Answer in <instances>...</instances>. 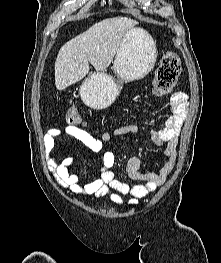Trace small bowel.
I'll return each instance as SVG.
<instances>
[{
  "mask_svg": "<svg viewBox=\"0 0 221 263\" xmlns=\"http://www.w3.org/2000/svg\"><path fill=\"white\" fill-rule=\"evenodd\" d=\"M169 106L170 115L163 127L158 130H148L151 142L155 146L166 145L164 153L168 161L158 172L141 169L139 158L130 157L127 161L126 174L136 183L127 184L119 180L111 171L115 164V157L113 153L106 152L102 156L99 176L87 183H81V175L72 171L76 168L75 157L73 155L60 159L57 157L59 153L57 143L64 134L80 141L90 150L98 152L103 148L104 143L109 142L113 137L137 133L140 127L135 124L121 125L111 131L103 132L101 137L97 138L82 128L69 126L65 129L53 128L44 138L46 152L54 151L55 153V157L49 162L54 180L74 195H93L95 197L109 195L111 201L116 205H122L125 202L124 197H128L127 204L131 207L137 206L140 199L145 198L166 181L176 164L178 139L188 110L187 95L183 92L174 93L169 99Z\"/></svg>",
  "mask_w": 221,
  "mask_h": 263,
  "instance_id": "c3829d8e",
  "label": "small bowel"
}]
</instances>
